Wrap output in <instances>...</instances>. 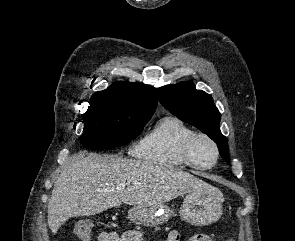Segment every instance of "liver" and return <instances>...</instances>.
<instances>
[{"mask_svg": "<svg viewBox=\"0 0 295 241\" xmlns=\"http://www.w3.org/2000/svg\"><path fill=\"white\" fill-rule=\"evenodd\" d=\"M125 188L116 190L117 185ZM209 185L174 166L112 155H76L62 167L48 202L53 234L69 218L91 216L109 208L158 205Z\"/></svg>", "mask_w": 295, "mask_h": 241, "instance_id": "liver-1", "label": "liver"}]
</instances>
